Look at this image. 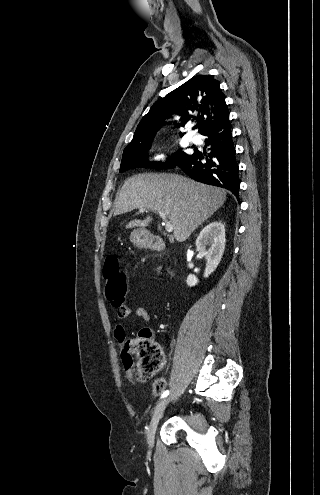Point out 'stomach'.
<instances>
[{"instance_id":"0dacf381","label":"stomach","mask_w":320,"mask_h":495,"mask_svg":"<svg viewBox=\"0 0 320 495\" xmlns=\"http://www.w3.org/2000/svg\"><path fill=\"white\" fill-rule=\"evenodd\" d=\"M130 241L137 246H144L147 244V236L144 231L136 230L131 233Z\"/></svg>"}]
</instances>
